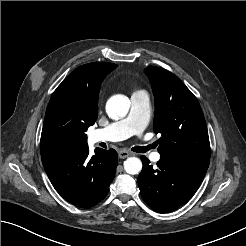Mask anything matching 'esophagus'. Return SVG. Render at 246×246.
Here are the masks:
<instances>
[{
    "label": "esophagus",
    "mask_w": 246,
    "mask_h": 246,
    "mask_svg": "<svg viewBox=\"0 0 246 246\" xmlns=\"http://www.w3.org/2000/svg\"><path fill=\"white\" fill-rule=\"evenodd\" d=\"M132 154L130 153V152H128V151H125V150H121V151H119V153H118V156H119V158H121V159H125V158H127V157H129V156H131Z\"/></svg>",
    "instance_id": "obj_1"
}]
</instances>
